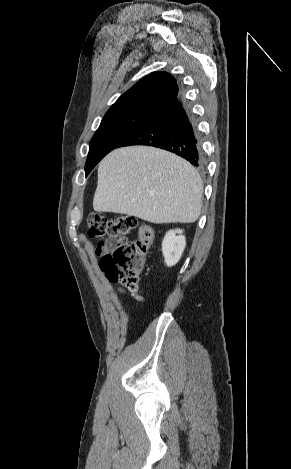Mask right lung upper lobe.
I'll list each match as a JSON object with an SVG mask.
<instances>
[{
	"label": "right lung upper lobe",
	"instance_id": "1",
	"mask_svg": "<svg viewBox=\"0 0 291 469\" xmlns=\"http://www.w3.org/2000/svg\"><path fill=\"white\" fill-rule=\"evenodd\" d=\"M180 95L176 80L166 72L151 73L121 95L106 115L141 111L150 114L177 99Z\"/></svg>",
	"mask_w": 291,
	"mask_h": 469
}]
</instances>
